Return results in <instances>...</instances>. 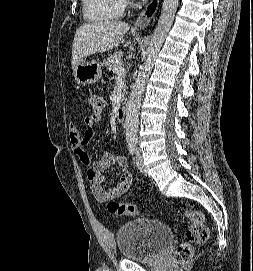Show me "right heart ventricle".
<instances>
[{
	"label": "right heart ventricle",
	"mask_w": 253,
	"mask_h": 271,
	"mask_svg": "<svg viewBox=\"0 0 253 271\" xmlns=\"http://www.w3.org/2000/svg\"><path fill=\"white\" fill-rule=\"evenodd\" d=\"M84 16L93 22H106L122 16L124 0H82Z\"/></svg>",
	"instance_id": "1"
}]
</instances>
